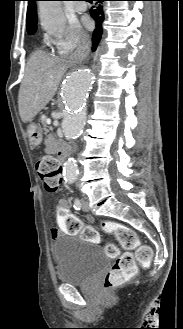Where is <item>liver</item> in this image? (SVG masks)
Here are the masks:
<instances>
[{"instance_id": "1", "label": "liver", "mask_w": 183, "mask_h": 329, "mask_svg": "<svg viewBox=\"0 0 183 329\" xmlns=\"http://www.w3.org/2000/svg\"><path fill=\"white\" fill-rule=\"evenodd\" d=\"M66 70L65 61L42 51L30 57L18 95L19 114L24 123L30 122L52 99Z\"/></svg>"}]
</instances>
